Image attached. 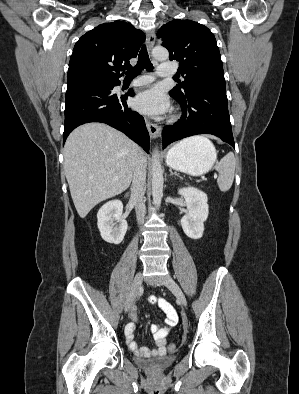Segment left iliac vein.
Listing matches in <instances>:
<instances>
[{
    "mask_svg": "<svg viewBox=\"0 0 299 394\" xmlns=\"http://www.w3.org/2000/svg\"><path fill=\"white\" fill-rule=\"evenodd\" d=\"M164 283H165V286L167 288H169L174 293V295L180 301V303L183 306H186L187 305L186 298H185L182 290L178 286V284L171 277H167Z\"/></svg>",
    "mask_w": 299,
    "mask_h": 394,
    "instance_id": "left-iliac-vein-1",
    "label": "left iliac vein"
}]
</instances>
